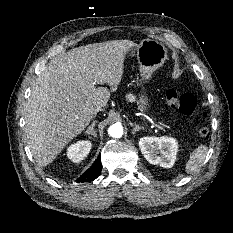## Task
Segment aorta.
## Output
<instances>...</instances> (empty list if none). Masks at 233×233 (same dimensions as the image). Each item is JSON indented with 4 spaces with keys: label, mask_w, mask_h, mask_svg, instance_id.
<instances>
[{
    "label": "aorta",
    "mask_w": 233,
    "mask_h": 233,
    "mask_svg": "<svg viewBox=\"0 0 233 233\" xmlns=\"http://www.w3.org/2000/svg\"><path fill=\"white\" fill-rule=\"evenodd\" d=\"M108 134L113 138H121L123 135V128L120 124H113L109 127Z\"/></svg>",
    "instance_id": "obj_1"
}]
</instances>
